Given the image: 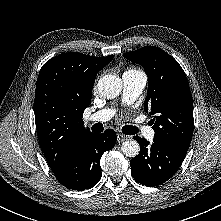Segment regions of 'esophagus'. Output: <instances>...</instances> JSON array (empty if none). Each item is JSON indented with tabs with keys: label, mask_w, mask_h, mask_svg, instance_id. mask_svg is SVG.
Returning <instances> with one entry per match:
<instances>
[{
	"label": "esophagus",
	"mask_w": 221,
	"mask_h": 221,
	"mask_svg": "<svg viewBox=\"0 0 221 221\" xmlns=\"http://www.w3.org/2000/svg\"><path fill=\"white\" fill-rule=\"evenodd\" d=\"M126 139H127V137L124 134L117 133V141L119 143L125 141Z\"/></svg>",
	"instance_id": "1"
}]
</instances>
